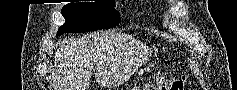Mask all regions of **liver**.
I'll return each mask as SVG.
<instances>
[{"mask_svg": "<svg viewBox=\"0 0 237 90\" xmlns=\"http://www.w3.org/2000/svg\"><path fill=\"white\" fill-rule=\"evenodd\" d=\"M113 44L105 34L59 42L54 56V66L62 76L59 90H87L93 66H102L115 56Z\"/></svg>", "mask_w": 237, "mask_h": 90, "instance_id": "6515ba94", "label": "liver"}]
</instances>
